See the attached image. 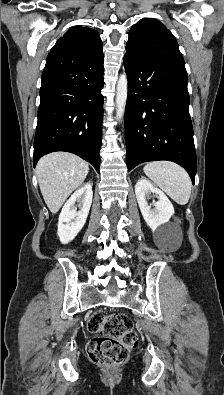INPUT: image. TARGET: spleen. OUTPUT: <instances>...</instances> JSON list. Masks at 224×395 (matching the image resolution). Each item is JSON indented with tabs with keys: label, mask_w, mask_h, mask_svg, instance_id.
Segmentation results:
<instances>
[{
	"label": "spleen",
	"mask_w": 224,
	"mask_h": 395,
	"mask_svg": "<svg viewBox=\"0 0 224 395\" xmlns=\"http://www.w3.org/2000/svg\"><path fill=\"white\" fill-rule=\"evenodd\" d=\"M144 173L169 197L180 205L188 203L191 195V179L181 166L170 161L147 163Z\"/></svg>",
	"instance_id": "3e777b00"
}]
</instances>
